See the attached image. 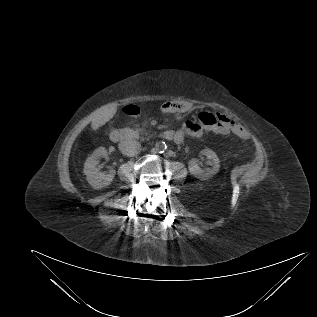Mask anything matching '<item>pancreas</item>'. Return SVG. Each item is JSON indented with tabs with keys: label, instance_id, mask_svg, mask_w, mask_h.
<instances>
[{
	"label": "pancreas",
	"instance_id": "obj_1",
	"mask_svg": "<svg viewBox=\"0 0 317 317\" xmlns=\"http://www.w3.org/2000/svg\"><path fill=\"white\" fill-rule=\"evenodd\" d=\"M137 133H141L143 130L142 129H136L135 130Z\"/></svg>",
	"mask_w": 317,
	"mask_h": 317
}]
</instances>
